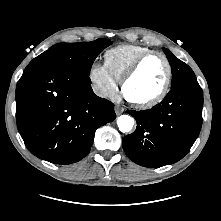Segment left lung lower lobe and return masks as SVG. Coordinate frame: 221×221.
Here are the masks:
<instances>
[{
    "instance_id": "left-lung-lower-lobe-1",
    "label": "left lung lower lobe",
    "mask_w": 221,
    "mask_h": 221,
    "mask_svg": "<svg viewBox=\"0 0 221 221\" xmlns=\"http://www.w3.org/2000/svg\"><path fill=\"white\" fill-rule=\"evenodd\" d=\"M203 92L197 80L172 87L163 101L151 109L129 110L136 130L123 138L126 155L149 168L182 159L197 139L202 125Z\"/></svg>"
}]
</instances>
